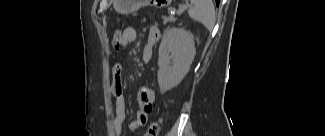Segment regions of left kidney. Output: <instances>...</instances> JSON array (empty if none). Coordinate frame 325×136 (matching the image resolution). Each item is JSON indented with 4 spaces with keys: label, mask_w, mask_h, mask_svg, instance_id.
<instances>
[{
    "label": "left kidney",
    "mask_w": 325,
    "mask_h": 136,
    "mask_svg": "<svg viewBox=\"0 0 325 136\" xmlns=\"http://www.w3.org/2000/svg\"><path fill=\"white\" fill-rule=\"evenodd\" d=\"M158 54V84L162 91H168L183 80L194 60L193 34L183 28L172 27L163 36Z\"/></svg>",
    "instance_id": "1"
}]
</instances>
